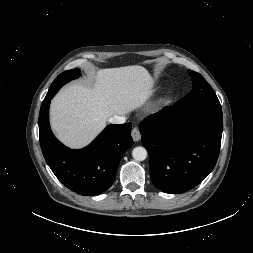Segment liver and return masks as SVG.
<instances>
[{"instance_id":"1","label":"liver","mask_w":253,"mask_h":253,"mask_svg":"<svg viewBox=\"0 0 253 253\" xmlns=\"http://www.w3.org/2000/svg\"><path fill=\"white\" fill-rule=\"evenodd\" d=\"M153 85L149 72L139 65L97 70L92 82L69 85L52 99L51 127L68 147H85L111 117L143 106Z\"/></svg>"}]
</instances>
